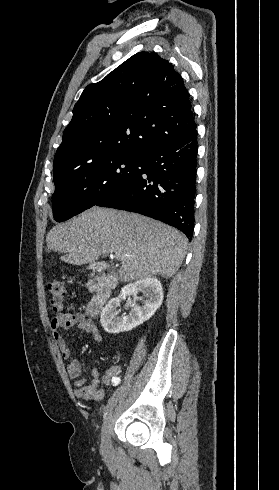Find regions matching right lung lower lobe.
Here are the masks:
<instances>
[{
    "label": "right lung lower lobe",
    "mask_w": 279,
    "mask_h": 490,
    "mask_svg": "<svg viewBox=\"0 0 279 490\" xmlns=\"http://www.w3.org/2000/svg\"><path fill=\"white\" fill-rule=\"evenodd\" d=\"M197 130L143 157V172L97 206L140 213L182 231H194Z\"/></svg>",
    "instance_id": "1"
}]
</instances>
